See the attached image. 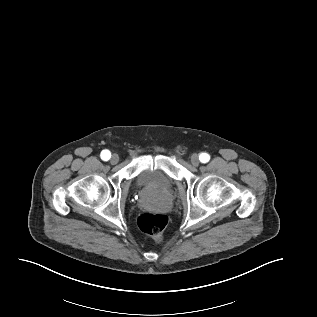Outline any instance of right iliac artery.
I'll return each mask as SVG.
<instances>
[{
    "label": "right iliac artery",
    "mask_w": 317,
    "mask_h": 317,
    "mask_svg": "<svg viewBox=\"0 0 317 317\" xmlns=\"http://www.w3.org/2000/svg\"><path fill=\"white\" fill-rule=\"evenodd\" d=\"M110 157H111V153H110L109 150H103V151L101 152V159H102V160L107 161V160L110 159Z\"/></svg>",
    "instance_id": "82829eb1"
}]
</instances>
